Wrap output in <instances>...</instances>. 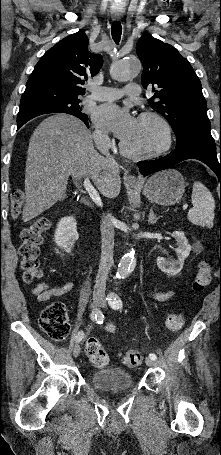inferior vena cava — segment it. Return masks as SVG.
<instances>
[{"instance_id":"1","label":"inferior vena cava","mask_w":221,"mask_h":455,"mask_svg":"<svg viewBox=\"0 0 221 455\" xmlns=\"http://www.w3.org/2000/svg\"><path fill=\"white\" fill-rule=\"evenodd\" d=\"M104 143H106V138L103 137ZM106 158L112 164H117L114 158L110 155L107 146H105L104 152ZM101 259L99 264V269L96 277V288H105L106 281L108 277V272L113 264V248H114V228L111 221V216L109 214L103 215L101 220Z\"/></svg>"}]
</instances>
